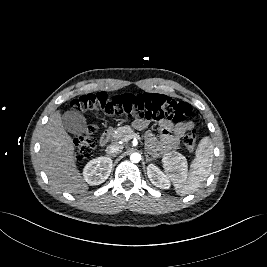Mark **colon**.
Returning a JSON list of instances; mask_svg holds the SVG:
<instances>
[{"label":"colon","instance_id":"5ec220e1","mask_svg":"<svg viewBox=\"0 0 267 267\" xmlns=\"http://www.w3.org/2000/svg\"><path fill=\"white\" fill-rule=\"evenodd\" d=\"M72 108L92 113L101 111L111 116H124L144 120H170L182 122L195 116L192 106L158 93L122 94L109 97L105 93L87 94L75 99ZM95 128L75 140L76 158L82 160L88 157L95 147ZM184 144L188 151L193 152L196 146V129L193 127L185 136Z\"/></svg>","mask_w":267,"mask_h":267}]
</instances>
